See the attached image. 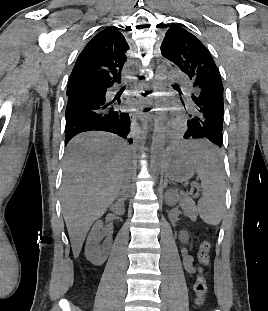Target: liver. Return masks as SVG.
Segmentation results:
<instances>
[{
  "mask_svg": "<svg viewBox=\"0 0 268 311\" xmlns=\"http://www.w3.org/2000/svg\"><path fill=\"white\" fill-rule=\"evenodd\" d=\"M130 151L124 140L106 132L83 133L68 144L61 196L75 258L92 223L117 197L127 177Z\"/></svg>",
  "mask_w": 268,
  "mask_h": 311,
  "instance_id": "1",
  "label": "liver"
}]
</instances>
